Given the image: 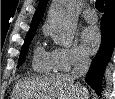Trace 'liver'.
I'll list each match as a JSON object with an SVG mask.
<instances>
[{"instance_id":"liver-1","label":"liver","mask_w":115,"mask_h":99,"mask_svg":"<svg viewBox=\"0 0 115 99\" xmlns=\"http://www.w3.org/2000/svg\"><path fill=\"white\" fill-rule=\"evenodd\" d=\"M74 80L68 74L25 78L16 83L12 99H88L87 89Z\"/></svg>"}]
</instances>
